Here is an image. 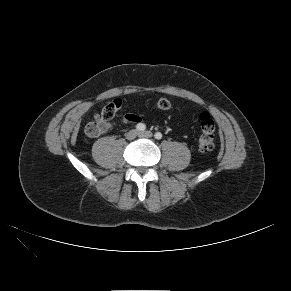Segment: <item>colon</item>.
Here are the masks:
<instances>
[{"label": "colon", "instance_id": "1", "mask_svg": "<svg viewBox=\"0 0 291 291\" xmlns=\"http://www.w3.org/2000/svg\"><path fill=\"white\" fill-rule=\"evenodd\" d=\"M123 107V102L114 99L112 103L106 104L100 111L99 115L85 126V134L89 137H96L104 133L109 128V122L118 109ZM160 110H167L171 103L167 98H160L157 102ZM200 136L198 148L201 152H211L215 148V123L211 116L204 112L200 115Z\"/></svg>", "mask_w": 291, "mask_h": 291}]
</instances>
